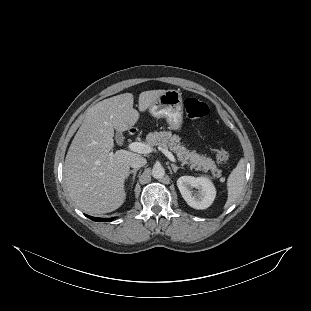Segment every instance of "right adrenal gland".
Here are the masks:
<instances>
[{
  "instance_id": "2a0ac1e0",
  "label": "right adrenal gland",
  "mask_w": 311,
  "mask_h": 311,
  "mask_svg": "<svg viewBox=\"0 0 311 311\" xmlns=\"http://www.w3.org/2000/svg\"><path fill=\"white\" fill-rule=\"evenodd\" d=\"M138 170H139V168H138V169L132 170V171L129 173L127 179H126V182H128V181H129V178H130L131 175H132V183H131L130 191H132V189H133L134 182H135V178H136V173H137Z\"/></svg>"
}]
</instances>
